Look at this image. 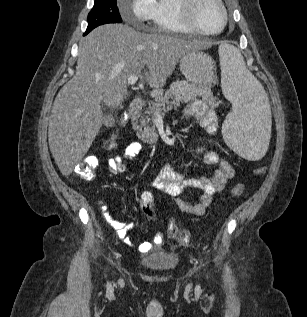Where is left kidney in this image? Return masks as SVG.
Segmentation results:
<instances>
[{
  "mask_svg": "<svg viewBox=\"0 0 307 317\" xmlns=\"http://www.w3.org/2000/svg\"><path fill=\"white\" fill-rule=\"evenodd\" d=\"M203 150H204L203 148H201V149H198V152H203Z\"/></svg>",
  "mask_w": 307,
  "mask_h": 317,
  "instance_id": "obj_1",
  "label": "left kidney"
}]
</instances>
